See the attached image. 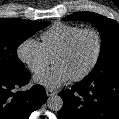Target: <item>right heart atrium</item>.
Wrapping results in <instances>:
<instances>
[{
	"label": "right heart atrium",
	"instance_id": "d8ad5b80",
	"mask_svg": "<svg viewBox=\"0 0 119 119\" xmlns=\"http://www.w3.org/2000/svg\"><path fill=\"white\" fill-rule=\"evenodd\" d=\"M17 56L34 73L43 70L52 61L42 43L34 38L25 39L19 44Z\"/></svg>",
	"mask_w": 119,
	"mask_h": 119
}]
</instances>
